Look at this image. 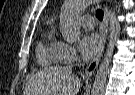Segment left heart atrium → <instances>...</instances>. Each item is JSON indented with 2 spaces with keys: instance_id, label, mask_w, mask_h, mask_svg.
I'll list each match as a JSON object with an SVG mask.
<instances>
[{
  "instance_id": "left-heart-atrium-1",
  "label": "left heart atrium",
  "mask_w": 135,
  "mask_h": 95,
  "mask_svg": "<svg viewBox=\"0 0 135 95\" xmlns=\"http://www.w3.org/2000/svg\"><path fill=\"white\" fill-rule=\"evenodd\" d=\"M101 46L102 41L95 33L84 34L79 42L80 52L86 59L96 56L99 53Z\"/></svg>"
}]
</instances>
